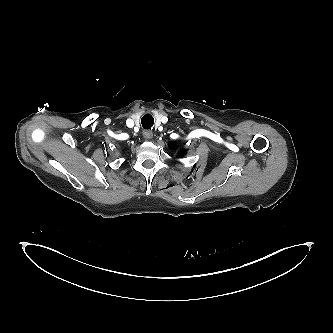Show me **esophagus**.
Here are the masks:
<instances>
[{"label": "esophagus", "instance_id": "34e87169", "mask_svg": "<svg viewBox=\"0 0 333 333\" xmlns=\"http://www.w3.org/2000/svg\"><path fill=\"white\" fill-rule=\"evenodd\" d=\"M143 136L145 139H152L153 138V133L150 130H145L143 131Z\"/></svg>", "mask_w": 333, "mask_h": 333}]
</instances>
